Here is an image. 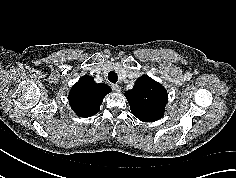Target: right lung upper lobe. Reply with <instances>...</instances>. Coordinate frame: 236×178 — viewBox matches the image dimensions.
<instances>
[{
  "mask_svg": "<svg viewBox=\"0 0 236 178\" xmlns=\"http://www.w3.org/2000/svg\"><path fill=\"white\" fill-rule=\"evenodd\" d=\"M110 92L107 85L97 84L93 77L84 75L71 88L69 102L78 116L90 117L99 112L103 98Z\"/></svg>",
  "mask_w": 236,
  "mask_h": 178,
  "instance_id": "right-lung-upper-lobe-1",
  "label": "right lung upper lobe"
}]
</instances>
